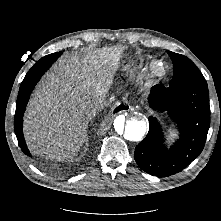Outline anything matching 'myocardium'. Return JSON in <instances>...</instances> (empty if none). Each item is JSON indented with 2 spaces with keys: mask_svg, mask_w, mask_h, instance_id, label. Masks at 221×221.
Returning <instances> with one entry per match:
<instances>
[{
  "mask_svg": "<svg viewBox=\"0 0 221 221\" xmlns=\"http://www.w3.org/2000/svg\"><path fill=\"white\" fill-rule=\"evenodd\" d=\"M169 72V66L163 59H157L152 62L150 67V74L153 78L161 80L164 79Z\"/></svg>",
  "mask_w": 221,
  "mask_h": 221,
  "instance_id": "f54148a6",
  "label": "myocardium"
}]
</instances>
